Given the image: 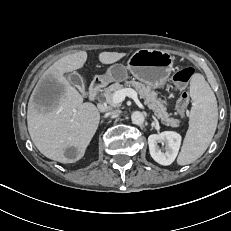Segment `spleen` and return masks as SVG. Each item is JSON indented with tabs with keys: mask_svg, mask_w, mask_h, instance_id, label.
I'll use <instances>...</instances> for the list:
<instances>
[{
	"mask_svg": "<svg viewBox=\"0 0 231 231\" xmlns=\"http://www.w3.org/2000/svg\"><path fill=\"white\" fill-rule=\"evenodd\" d=\"M190 96L193 100L189 128L177 158L179 165H187L198 158L208 148L218 122L217 100L204 77L196 73L190 82Z\"/></svg>",
	"mask_w": 231,
	"mask_h": 231,
	"instance_id": "1",
	"label": "spleen"
}]
</instances>
